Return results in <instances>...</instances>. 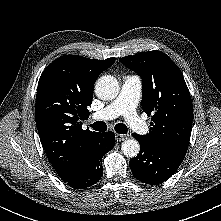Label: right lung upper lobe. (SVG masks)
I'll list each match as a JSON object with an SVG mask.
<instances>
[{
  "label": "right lung upper lobe",
  "mask_w": 221,
  "mask_h": 221,
  "mask_svg": "<svg viewBox=\"0 0 221 221\" xmlns=\"http://www.w3.org/2000/svg\"><path fill=\"white\" fill-rule=\"evenodd\" d=\"M115 62L77 55L61 56L41 74L38 82L35 120L49 161L66 181L82 167L99 134L82 129L91 105L93 86L104 70Z\"/></svg>",
  "instance_id": "right-lung-upper-lobe-1"
}]
</instances>
